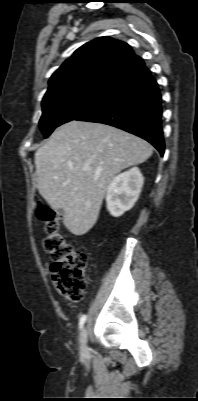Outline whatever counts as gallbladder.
<instances>
[{"label": "gallbladder", "mask_w": 198, "mask_h": 401, "mask_svg": "<svg viewBox=\"0 0 198 401\" xmlns=\"http://www.w3.org/2000/svg\"><path fill=\"white\" fill-rule=\"evenodd\" d=\"M57 213H58L59 215H63L64 211H63V209H58V210H57Z\"/></svg>", "instance_id": "gallbladder-1"}]
</instances>
